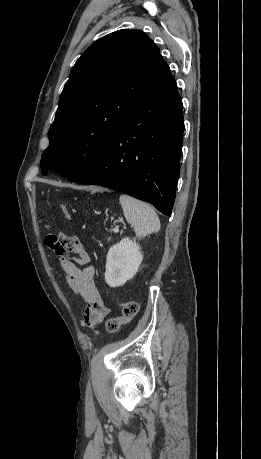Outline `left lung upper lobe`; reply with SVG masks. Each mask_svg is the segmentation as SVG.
Wrapping results in <instances>:
<instances>
[{
  "label": "left lung upper lobe",
  "instance_id": "1",
  "mask_svg": "<svg viewBox=\"0 0 261 459\" xmlns=\"http://www.w3.org/2000/svg\"><path fill=\"white\" fill-rule=\"evenodd\" d=\"M170 74L140 30L93 43L73 66L59 99L40 164L68 178L93 165L143 101Z\"/></svg>",
  "mask_w": 261,
  "mask_h": 459
}]
</instances>
